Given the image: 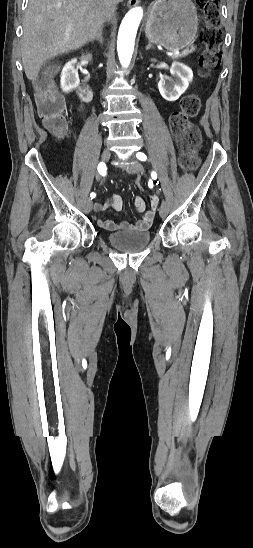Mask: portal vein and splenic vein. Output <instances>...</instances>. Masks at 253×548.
I'll use <instances>...</instances> for the list:
<instances>
[{
    "mask_svg": "<svg viewBox=\"0 0 253 548\" xmlns=\"http://www.w3.org/2000/svg\"><path fill=\"white\" fill-rule=\"evenodd\" d=\"M170 56H173V58L177 57L179 55V52H175V53H170L169 54Z\"/></svg>",
    "mask_w": 253,
    "mask_h": 548,
    "instance_id": "1",
    "label": "portal vein and splenic vein"
}]
</instances>
